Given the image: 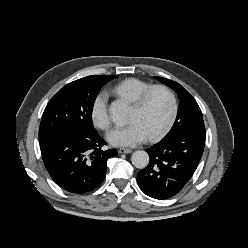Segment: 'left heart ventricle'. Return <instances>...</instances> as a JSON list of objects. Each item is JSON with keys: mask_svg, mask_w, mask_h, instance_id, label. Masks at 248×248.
Returning <instances> with one entry per match:
<instances>
[{"mask_svg": "<svg viewBox=\"0 0 248 248\" xmlns=\"http://www.w3.org/2000/svg\"><path fill=\"white\" fill-rule=\"evenodd\" d=\"M170 110V100L163 91L154 92L142 109L132 106L128 121L138 122L148 136L153 134L165 121Z\"/></svg>", "mask_w": 248, "mask_h": 248, "instance_id": "b2bd125f", "label": "left heart ventricle"}]
</instances>
